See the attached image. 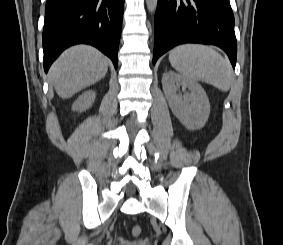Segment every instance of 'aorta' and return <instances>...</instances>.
<instances>
[{
  "label": "aorta",
  "mask_w": 283,
  "mask_h": 245,
  "mask_svg": "<svg viewBox=\"0 0 283 245\" xmlns=\"http://www.w3.org/2000/svg\"><path fill=\"white\" fill-rule=\"evenodd\" d=\"M158 0H146V5L149 12L153 13L156 10Z\"/></svg>",
  "instance_id": "1"
}]
</instances>
